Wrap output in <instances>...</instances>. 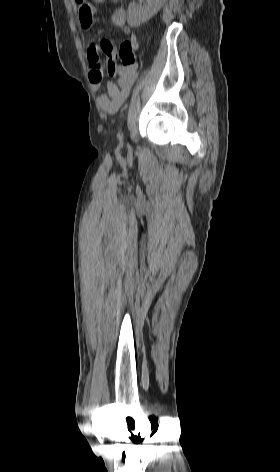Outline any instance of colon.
Instances as JSON below:
<instances>
[{
	"instance_id": "1",
	"label": "colon",
	"mask_w": 280,
	"mask_h": 472,
	"mask_svg": "<svg viewBox=\"0 0 280 472\" xmlns=\"http://www.w3.org/2000/svg\"><path fill=\"white\" fill-rule=\"evenodd\" d=\"M135 49L136 47L131 40L127 39L122 42L119 47L118 55L123 65L131 66L136 64ZM107 71L110 76H115L117 72V64L113 61L107 62Z\"/></svg>"
}]
</instances>
